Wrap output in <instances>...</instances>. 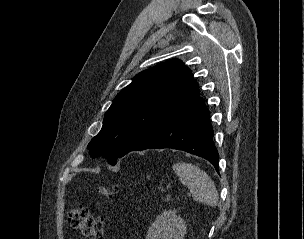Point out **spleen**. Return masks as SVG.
Masks as SVG:
<instances>
[{"mask_svg":"<svg viewBox=\"0 0 304 239\" xmlns=\"http://www.w3.org/2000/svg\"><path fill=\"white\" fill-rule=\"evenodd\" d=\"M173 170L179 180L190 189L193 200L215 207L218 203V192L211 178L191 163H176Z\"/></svg>","mask_w":304,"mask_h":239,"instance_id":"obj_1","label":"spleen"}]
</instances>
